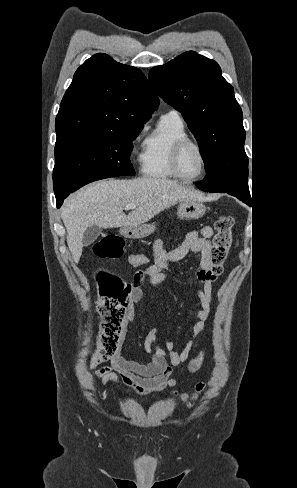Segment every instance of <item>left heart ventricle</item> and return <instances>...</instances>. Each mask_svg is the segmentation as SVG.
<instances>
[{
    "label": "left heart ventricle",
    "mask_w": 297,
    "mask_h": 488,
    "mask_svg": "<svg viewBox=\"0 0 297 488\" xmlns=\"http://www.w3.org/2000/svg\"><path fill=\"white\" fill-rule=\"evenodd\" d=\"M179 167L187 177H193L200 172L202 167L201 156L194 146L188 145L183 149L179 159Z\"/></svg>",
    "instance_id": "obj_1"
}]
</instances>
